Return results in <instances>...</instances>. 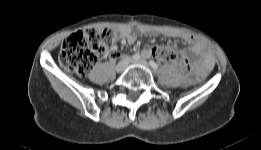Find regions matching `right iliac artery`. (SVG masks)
Instances as JSON below:
<instances>
[{
	"label": "right iliac artery",
	"instance_id": "right-iliac-artery-1",
	"mask_svg": "<svg viewBox=\"0 0 261 150\" xmlns=\"http://www.w3.org/2000/svg\"><path fill=\"white\" fill-rule=\"evenodd\" d=\"M132 59H133V60H139V59H140V55H139L138 53H136V54H134V55L132 56Z\"/></svg>",
	"mask_w": 261,
	"mask_h": 150
}]
</instances>
